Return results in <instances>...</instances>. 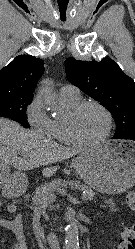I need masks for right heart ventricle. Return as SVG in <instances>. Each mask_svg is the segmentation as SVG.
<instances>
[{"mask_svg": "<svg viewBox=\"0 0 135 249\" xmlns=\"http://www.w3.org/2000/svg\"><path fill=\"white\" fill-rule=\"evenodd\" d=\"M62 103L70 111L80 102V98L73 99L60 96ZM48 135L64 144H75L68 134L66 127V118H55L51 120V126Z\"/></svg>", "mask_w": 135, "mask_h": 249, "instance_id": "right-heart-ventricle-1", "label": "right heart ventricle"}]
</instances>
